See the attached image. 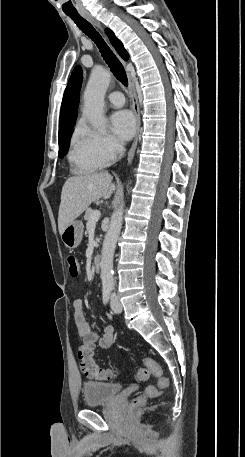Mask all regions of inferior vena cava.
I'll return each instance as SVG.
<instances>
[{"mask_svg": "<svg viewBox=\"0 0 245 457\" xmlns=\"http://www.w3.org/2000/svg\"><path fill=\"white\" fill-rule=\"evenodd\" d=\"M116 146H117L119 152H124V150H126V148H125L123 142H121V140H117Z\"/></svg>", "mask_w": 245, "mask_h": 457, "instance_id": "602c4592", "label": "inferior vena cava"}]
</instances>
